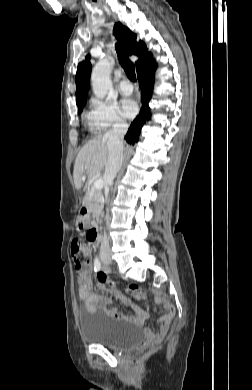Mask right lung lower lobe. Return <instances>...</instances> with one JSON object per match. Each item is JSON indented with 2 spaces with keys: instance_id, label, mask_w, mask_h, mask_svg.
I'll use <instances>...</instances> for the list:
<instances>
[{
  "instance_id": "right-lung-lower-lobe-1",
  "label": "right lung lower lobe",
  "mask_w": 252,
  "mask_h": 390,
  "mask_svg": "<svg viewBox=\"0 0 252 390\" xmlns=\"http://www.w3.org/2000/svg\"><path fill=\"white\" fill-rule=\"evenodd\" d=\"M155 69L156 64L147 67L138 73L142 107L140 109L139 115L131 123L128 132L125 135L126 141L130 144H134L139 140L142 126L151 119L149 101L153 91Z\"/></svg>"
}]
</instances>
